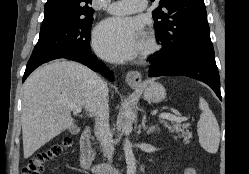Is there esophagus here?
Listing matches in <instances>:
<instances>
[{"mask_svg":"<svg viewBox=\"0 0 249 174\" xmlns=\"http://www.w3.org/2000/svg\"><path fill=\"white\" fill-rule=\"evenodd\" d=\"M142 75L138 71H129L126 75V81L129 85L138 86L141 83Z\"/></svg>","mask_w":249,"mask_h":174,"instance_id":"34e87169","label":"esophagus"}]
</instances>
